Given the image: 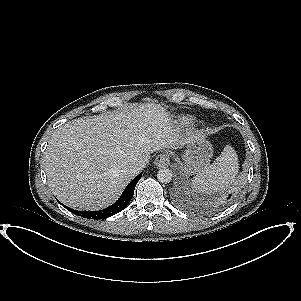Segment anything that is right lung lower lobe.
I'll return each instance as SVG.
<instances>
[{"label":"right lung lower lobe","instance_id":"98d812e1","mask_svg":"<svg viewBox=\"0 0 301 301\" xmlns=\"http://www.w3.org/2000/svg\"><path fill=\"white\" fill-rule=\"evenodd\" d=\"M140 178H141V174L138 175L127 185V187L125 188L123 194L118 199V201L106 209L100 211L87 212V211H76L67 207L66 208L70 210L72 213H75L76 215L88 219H103L115 215L120 211H122L129 204L134 194L135 186L137 182L140 180Z\"/></svg>","mask_w":301,"mask_h":301}]
</instances>
